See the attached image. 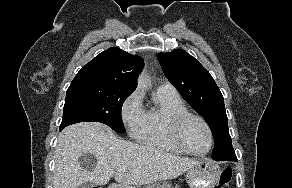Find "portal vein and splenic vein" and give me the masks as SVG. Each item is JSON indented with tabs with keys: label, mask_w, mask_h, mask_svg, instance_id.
<instances>
[{
	"label": "portal vein and splenic vein",
	"mask_w": 292,
	"mask_h": 188,
	"mask_svg": "<svg viewBox=\"0 0 292 188\" xmlns=\"http://www.w3.org/2000/svg\"><path fill=\"white\" fill-rule=\"evenodd\" d=\"M125 170H126V169H124V168H120V169H119V171H125Z\"/></svg>",
	"instance_id": "18ae733b"
}]
</instances>
